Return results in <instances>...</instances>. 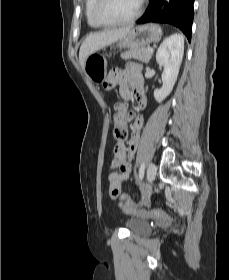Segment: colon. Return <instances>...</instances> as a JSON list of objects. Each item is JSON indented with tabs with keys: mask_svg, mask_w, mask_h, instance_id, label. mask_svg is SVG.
I'll list each match as a JSON object with an SVG mask.
<instances>
[{
	"mask_svg": "<svg viewBox=\"0 0 229 280\" xmlns=\"http://www.w3.org/2000/svg\"><path fill=\"white\" fill-rule=\"evenodd\" d=\"M128 115L125 112H119L114 117L113 137L116 141H120L127 135ZM109 193L112 196H117L119 190L117 188H110ZM120 204L129 207L133 213L139 217H158L165 214L163 210H145L143 208H133L127 195L122 194Z\"/></svg>",
	"mask_w": 229,
	"mask_h": 280,
	"instance_id": "colon-1",
	"label": "colon"
}]
</instances>
